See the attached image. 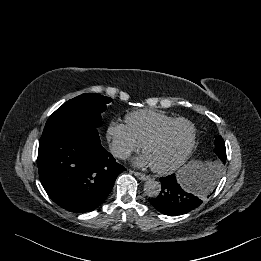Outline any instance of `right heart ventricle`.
<instances>
[{"mask_svg": "<svg viewBox=\"0 0 261 261\" xmlns=\"http://www.w3.org/2000/svg\"><path fill=\"white\" fill-rule=\"evenodd\" d=\"M172 119L173 116L155 109H140L125 116L126 126L140 144L159 126Z\"/></svg>", "mask_w": 261, "mask_h": 261, "instance_id": "e07e8e85", "label": "right heart ventricle"}]
</instances>
